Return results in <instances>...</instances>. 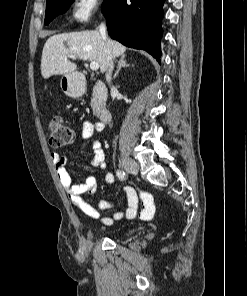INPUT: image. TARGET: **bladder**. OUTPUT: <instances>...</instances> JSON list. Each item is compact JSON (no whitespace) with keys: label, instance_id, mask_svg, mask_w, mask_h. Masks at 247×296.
Masks as SVG:
<instances>
[{"label":"bladder","instance_id":"obj_1","mask_svg":"<svg viewBox=\"0 0 247 296\" xmlns=\"http://www.w3.org/2000/svg\"><path fill=\"white\" fill-rule=\"evenodd\" d=\"M131 231H132L131 229L126 230V231H125V234H128V233H130Z\"/></svg>","mask_w":247,"mask_h":296}]
</instances>
